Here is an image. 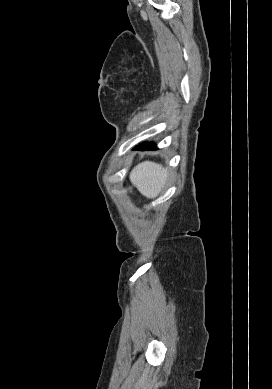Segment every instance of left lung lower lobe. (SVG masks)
Here are the masks:
<instances>
[{"label":"left lung lower lobe","mask_w":272,"mask_h":389,"mask_svg":"<svg viewBox=\"0 0 272 389\" xmlns=\"http://www.w3.org/2000/svg\"><path fill=\"white\" fill-rule=\"evenodd\" d=\"M156 145L153 142L139 144L134 150H152L156 149Z\"/></svg>","instance_id":"left-lung-lower-lobe-1"}]
</instances>
